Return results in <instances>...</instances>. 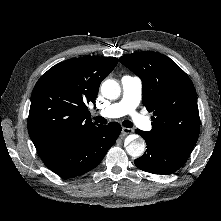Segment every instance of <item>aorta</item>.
Segmentation results:
<instances>
[{
  "mask_svg": "<svg viewBox=\"0 0 221 221\" xmlns=\"http://www.w3.org/2000/svg\"><path fill=\"white\" fill-rule=\"evenodd\" d=\"M101 94L110 100H115L120 96L121 88L117 81L108 79L101 85ZM127 153L132 157H140L145 151V142L143 139H134L126 146Z\"/></svg>",
  "mask_w": 221,
  "mask_h": 221,
  "instance_id": "762f6f07",
  "label": "aorta"
}]
</instances>
